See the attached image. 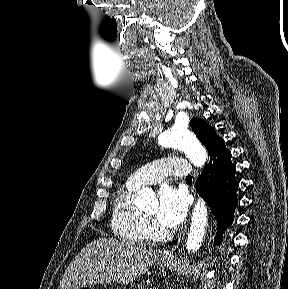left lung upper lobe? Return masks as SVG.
<instances>
[{
  "instance_id": "1",
  "label": "left lung upper lobe",
  "mask_w": 288,
  "mask_h": 289,
  "mask_svg": "<svg viewBox=\"0 0 288 289\" xmlns=\"http://www.w3.org/2000/svg\"><path fill=\"white\" fill-rule=\"evenodd\" d=\"M190 126L197 138L206 147L210 154L217 143L221 140V138L216 135L214 128L200 118H192Z\"/></svg>"
}]
</instances>
